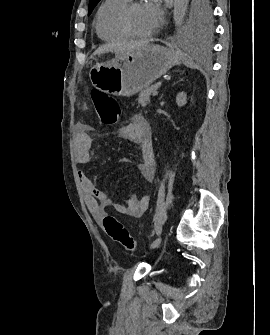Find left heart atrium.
I'll return each mask as SVG.
<instances>
[{
	"label": "left heart atrium",
	"mask_w": 270,
	"mask_h": 335,
	"mask_svg": "<svg viewBox=\"0 0 270 335\" xmlns=\"http://www.w3.org/2000/svg\"><path fill=\"white\" fill-rule=\"evenodd\" d=\"M141 10L145 22V33H152L164 23L163 13L157 5L147 3Z\"/></svg>",
	"instance_id": "39dd6f15"
}]
</instances>
